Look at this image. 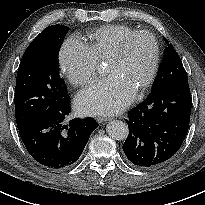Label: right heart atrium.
Wrapping results in <instances>:
<instances>
[{
  "label": "right heart atrium",
  "mask_w": 205,
  "mask_h": 205,
  "mask_svg": "<svg viewBox=\"0 0 205 205\" xmlns=\"http://www.w3.org/2000/svg\"><path fill=\"white\" fill-rule=\"evenodd\" d=\"M58 60L63 73L74 86H85L96 76L98 60L77 37H69L63 42Z\"/></svg>",
  "instance_id": "right-heart-atrium-1"
}]
</instances>
